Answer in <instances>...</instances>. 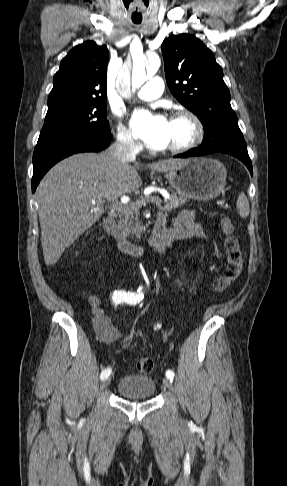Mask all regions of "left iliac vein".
I'll use <instances>...</instances> for the list:
<instances>
[{
	"label": "left iliac vein",
	"instance_id": "obj_1",
	"mask_svg": "<svg viewBox=\"0 0 287 486\" xmlns=\"http://www.w3.org/2000/svg\"><path fill=\"white\" fill-rule=\"evenodd\" d=\"M163 385H164V386H165L167 389H169V390L173 391V384H172V382H171V381H170L168 378H164V379H163Z\"/></svg>",
	"mask_w": 287,
	"mask_h": 486
}]
</instances>
